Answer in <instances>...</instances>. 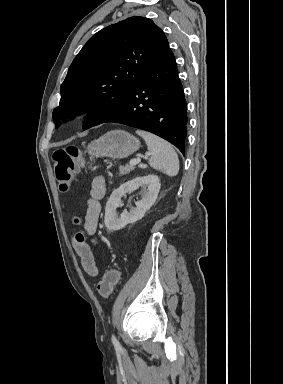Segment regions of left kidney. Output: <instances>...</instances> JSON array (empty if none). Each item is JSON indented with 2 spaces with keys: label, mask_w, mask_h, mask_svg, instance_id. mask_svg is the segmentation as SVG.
<instances>
[{
  "label": "left kidney",
  "mask_w": 283,
  "mask_h": 384,
  "mask_svg": "<svg viewBox=\"0 0 283 384\" xmlns=\"http://www.w3.org/2000/svg\"><path fill=\"white\" fill-rule=\"evenodd\" d=\"M138 188H143L144 190L142 200L135 202L136 208H131L129 214L128 212H122L119 218L116 208L123 206V204H121L122 196H125L128 192H134V190H138ZM159 190L160 180L158 176H153V174L143 176V178H134V180L125 182L120 188L114 190L106 204L104 224L107 230L117 232V230L125 228L127 224H134V222L141 220L145 212L150 210L151 206L156 202Z\"/></svg>",
  "instance_id": "5707ae66"
}]
</instances>
